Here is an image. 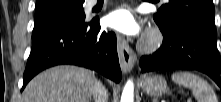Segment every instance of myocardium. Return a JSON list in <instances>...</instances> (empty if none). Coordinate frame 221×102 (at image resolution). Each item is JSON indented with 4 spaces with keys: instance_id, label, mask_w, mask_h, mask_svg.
<instances>
[{
    "instance_id": "1",
    "label": "myocardium",
    "mask_w": 221,
    "mask_h": 102,
    "mask_svg": "<svg viewBox=\"0 0 221 102\" xmlns=\"http://www.w3.org/2000/svg\"><path fill=\"white\" fill-rule=\"evenodd\" d=\"M162 42V36L159 31L151 30L143 41V49L147 51L155 50Z\"/></svg>"
}]
</instances>
